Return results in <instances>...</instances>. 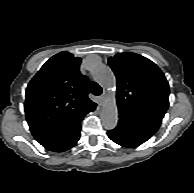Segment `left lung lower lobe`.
<instances>
[{
    "mask_svg": "<svg viewBox=\"0 0 194 193\" xmlns=\"http://www.w3.org/2000/svg\"><path fill=\"white\" fill-rule=\"evenodd\" d=\"M159 126L141 118L119 112L118 125L107 132L115 143L132 148L146 142Z\"/></svg>",
    "mask_w": 194,
    "mask_h": 193,
    "instance_id": "left-lung-lower-lobe-1",
    "label": "left lung lower lobe"
}]
</instances>
